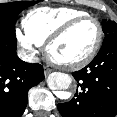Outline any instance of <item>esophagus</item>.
<instances>
[{
    "instance_id": "esophagus-1",
    "label": "esophagus",
    "mask_w": 117,
    "mask_h": 117,
    "mask_svg": "<svg viewBox=\"0 0 117 117\" xmlns=\"http://www.w3.org/2000/svg\"><path fill=\"white\" fill-rule=\"evenodd\" d=\"M52 70L50 68L45 67L44 68V74L47 76Z\"/></svg>"
}]
</instances>
